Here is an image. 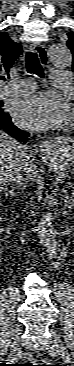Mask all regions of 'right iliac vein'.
<instances>
[{
	"mask_svg": "<svg viewBox=\"0 0 74 366\" xmlns=\"http://www.w3.org/2000/svg\"><path fill=\"white\" fill-rule=\"evenodd\" d=\"M20 326L17 325V327L14 330V340L12 343V354L15 355L18 351V347H19V336H20Z\"/></svg>",
	"mask_w": 74,
	"mask_h": 366,
	"instance_id": "63e3f726",
	"label": "right iliac vein"
}]
</instances>
